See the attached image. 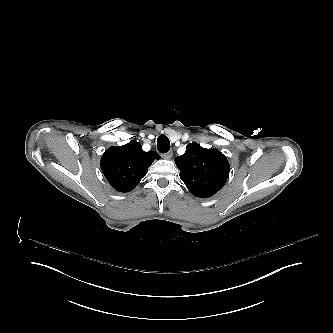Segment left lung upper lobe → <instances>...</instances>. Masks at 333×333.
I'll return each instance as SVG.
<instances>
[{
	"label": "left lung upper lobe",
	"instance_id": "obj_1",
	"mask_svg": "<svg viewBox=\"0 0 333 333\" xmlns=\"http://www.w3.org/2000/svg\"><path fill=\"white\" fill-rule=\"evenodd\" d=\"M180 178L196 197L208 198L217 193L225 184L230 165L217 149H206L198 143L187 145L186 152L175 158Z\"/></svg>",
	"mask_w": 333,
	"mask_h": 333
}]
</instances>
